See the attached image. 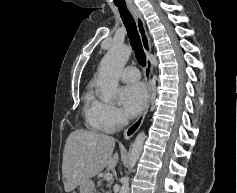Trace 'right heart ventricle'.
<instances>
[{
    "instance_id": "1",
    "label": "right heart ventricle",
    "mask_w": 237,
    "mask_h": 193,
    "mask_svg": "<svg viewBox=\"0 0 237 193\" xmlns=\"http://www.w3.org/2000/svg\"><path fill=\"white\" fill-rule=\"evenodd\" d=\"M83 113L91 129L105 132L99 115V101L95 98L92 86H89L83 94Z\"/></svg>"
}]
</instances>
